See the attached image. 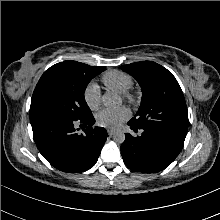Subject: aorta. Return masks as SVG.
<instances>
[{
    "instance_id": "762f6f07",
    "label": "aorta",
    "mask_w": 220,
    "mask_h": 220,
    "mask_svg": "<svg viewBox=\"0 0 220 220\" xmlns=\"http://www.w3.org/2000/svg\"><path fill=\"white\" fill-rule=\"evenodd\" d=\"M102 103L105 107L111 108L119 104V98L106 93L102 96ZM113 140L118 144H122L125 141V134L122 131H117L113 134Z\"/></svg>"
}]
</instances>
